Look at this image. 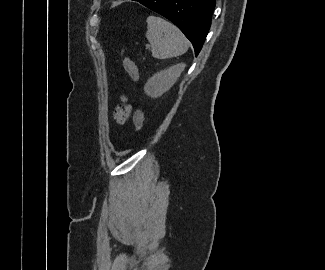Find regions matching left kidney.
<instances>
[{"mask_svg":"<svg viewBox=\"0 0 325 270\" xmlns=\"http://www.w3.org/2000/svg\"><path fill=\"white\" fill-rule=\"evenodd\" d=\"M184 68L185 64L180 63L154 74L144 86L145 93L152 98L161 96L175 84Z\"/></svg>","mask_w":325,"mask_h":270,"instance_id":"obj_1","label":"left kidney"}]
</instances>
